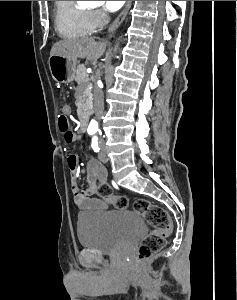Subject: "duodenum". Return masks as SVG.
Returning <instances> with one entry per match:
<instances>
[{
	"instance_id": "duodenum-1",
	"label": "duodenum",
	"mask_w": 237,
	"mask_h": 300,
	"mask_svg": "<svg viewBox=\"0 0 237 300\" xmlns=\"http://www.w3.org/2000/svg\"><path fill=\"white\" fill-rule=\"evenodd\" d=\"M87 126H88V118L86 115L82 114L80 116V121H79V130L81 132H85L87 130Z\"/></svg>"
}]
</instances>
